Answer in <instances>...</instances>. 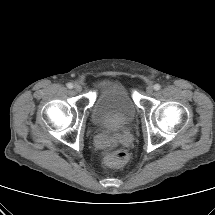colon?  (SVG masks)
<instances>
[{"label":"colon","mask_w":215,"mask_h":215,"mask_svg":"<svg viewBox=\"0 0 215 215\" xmlns=\"http://www.w3.org/2000/svg\"><path fill=\"white\" fill-rule=\"evenodd\" d=\"M129 155L127 151L123 149H117L113 152L109 153L105 159L104 162L108 167H120L123 166L128 161Z\"/></svg>","instance_id":"obj_1"}]
</instances>
